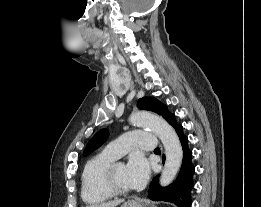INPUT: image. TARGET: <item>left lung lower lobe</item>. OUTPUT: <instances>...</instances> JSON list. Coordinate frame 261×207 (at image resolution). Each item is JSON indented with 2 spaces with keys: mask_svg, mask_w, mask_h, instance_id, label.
<instances>
[{
  "mask_svg": "<svg viewBox=\"0 0 261 207\" xmlns=\"http://www.w3.org/2000/svg\"><path fill=\"white\" fill-rule=\"evenodd\" d=\"M183 150V160L179 174L171 185L160 187L159 176L152 180L148 197L154 201H167L174 203L177 207H191V191L194 186L193 175L195 167L192 165V152L188 148V138L183 133V127L178 122L173 125ZM164 161V160H163Z\"/></svg>",
  "mask_w": 261,
  "mask_h": 207,
  "instance_id": "obj_1",
  "label": "left lung lower lobe"
}]
</instances>
